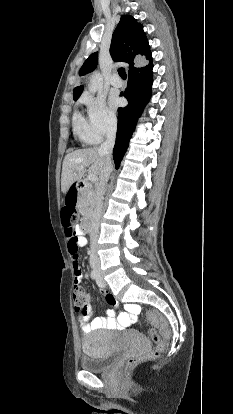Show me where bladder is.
<instances>
[{
    "label": "bladder",
    "mask_w": 233,
    "mask_h": 414,
    "mask_svg": "<svg viewBox=\"0 0 233 414\" xmlns=\"http://www.w3.org/2000/svg\"><path fill=\"white\" fill-rule=\"evenodd\" d=\"M144 348L145 338L137 332L133 333ZM83 354L79 364L82 370L98 373L108 370L120 355V349L115 345L113 335L105 331H93L83 340Z\"/></svg>",
    "instance_id": "bladder-1"
}]
</instances>
